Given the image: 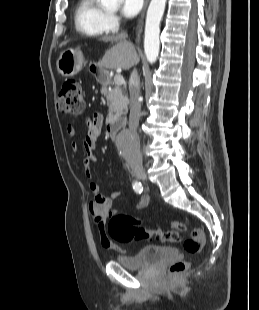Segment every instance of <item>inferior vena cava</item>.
I'll return each instance as SVG.
<instances>
[{
	"label": "inferior vena cava",
	"instance_id": "1",
	"mask_svg": "<svg viewBox=\"0 0 259 310\" xmlns=\"http://www.w3.org/2000/svg\"><path fill=\"white\" fill-rule=\"evenodd\" d=\"M119 37L126 41L127 34L121 32ZM129 92H130V115H129V129L132 133H135L139 124V118L141 115V103L140 97V79L138 72L134 69L129 79ZM131 161L134 164H142V155L138 148H135L132 153Z\"/></svg>",
	"mask_w": 259,
	"mask_h": 310
}]
</instances>
